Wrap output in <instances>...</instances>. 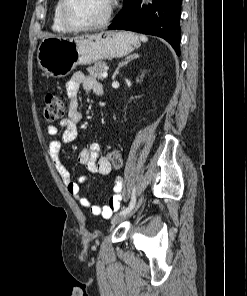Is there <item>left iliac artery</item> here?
Segmentation results:
<instances>
[{
	"label": "left iliac artery",
	"instance_id": "obj_1",
	"mask_svg": "<svg viewBox=\"0 0 247 296\" xmlns=\"http://www.w3.org/2000/svg\"><path fill=\"white\" fill-rule=\"evenodd\" d=\"M135 191H136V189L134 187L133 192H132L131 202H130L129 206L127 208H125L124 210H122L120 213H128L134 208L135 203H136Z\"/></svg>",
	"mask_w": 247,
	"mask_h": 296
}]
</instances>
